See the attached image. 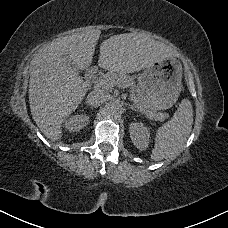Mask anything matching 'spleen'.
<instances>
[{"instance_id":"spleen-1","label":"spleen","mask_w":228,"mask_h":228,"mask_svg":"<svg viewBox=\"0 0 228 228\" xmlns=\"http://www.w3.org/2000/svg\"><path fill=\"white\" fill-rule=\"evenodd\" d=\"M193 124V108L188 99H183L171 120L158 128L151 159H175L189 136Z\"/></svg>"}]
</instances>
